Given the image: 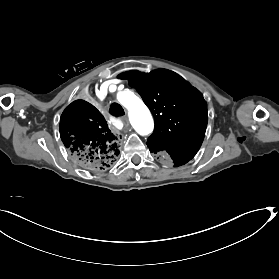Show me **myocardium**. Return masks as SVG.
I'll list each match as a JSON object with an SVG mask.
<instances>
[{
	"mask_svg": "<svg viewBox=\"0 0 279 279\" xmlns=\"http://www.w3.org/2000/svg\"><path fill=\"white\" fill-rule=\"evenodd\" d=\"M105 86H107L106 83H105V84H102V85L100 86V89H102V88L105 87ZM102 94H103V93H102L101 91L97 90L96 95H97L98 97L101 96ZM139 103L145 104V101L138 95V96H136V97L134 98V100L132 101V104H139Z\"/></svg>",
	"mask_w": 279,
	"mask_h": 279,
	"instance_id": "f54148a6",
	"label": "myocardium"
}]
</instances>
